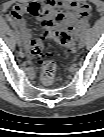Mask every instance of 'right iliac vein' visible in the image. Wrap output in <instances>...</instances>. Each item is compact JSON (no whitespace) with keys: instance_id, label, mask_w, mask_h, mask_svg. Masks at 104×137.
Masks as SVG:
<instances>
[{"instance_id":"obj_1","label":"right iliac vein","mask_w":104,"mask_h":137,"mask_svg":"<svg viewBox=\"0 0 104 137\" xmlns=\"http://www.w3.org/2000/svg\"><path fill=\"white\" fill-rule=\"evenodd\" d=\"M15 38H16V42H17V45L19 47H22L23 46V43H22V36L19 32H16L15 33Z\"/></svg>"}]
</instances>
